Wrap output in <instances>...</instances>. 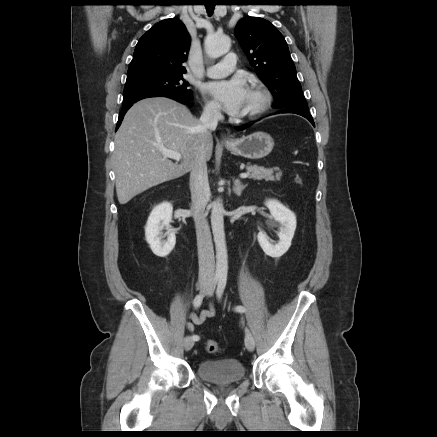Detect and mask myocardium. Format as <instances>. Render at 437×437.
Instances as JSON below:
<instances>
[{"instance_id": "1", "label": "myocardium", "mask_w": 437, "mask_h": 437, "mask_svg": "<svg viewBox=\"0 0 437 437\" xmlns=\"http://www.w3.org/2000/svg\"><path fill=\"white\" fill-rule=\"evenodd\" d=\"M250 90L258 94L259 103L252 110L242 114L240 116V119L242 120H251L259 117L268 109L271 104V95L265 87L258 84H253L250 87Z\"/></svg>"}]
</instances>
